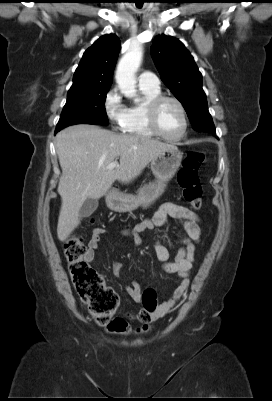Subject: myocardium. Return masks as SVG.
I'll use <instances>...</instances> for the list:
<instances>
[{"label": "myocardium", "mask_w": 272, "mask_h": 401, "mask_svg": "<svg viewBox=\"0 0 272 401\" xmlns=\"http://www.w3.org/2000/svg\"><path fill=\"white\" fill-rule=\"evenodd\" d=\"M166 102L175 103L179 107V109L182 113V116H183L184 128H183L182 133L176 137H170V136L166 135L159 126V120H158L159 111H160L162 105ZM147 120H148L149 127L154 132V134L166 141H169V142H177V141L182 140L187 135V132L189 129V119H188V114H187L186 108H185L184 104L178 98L173 97V96L159 95V96L155 97L154 99H152L147 107Z\"/></svg>", "instance_id": "f54148a6"}]
</instances>
